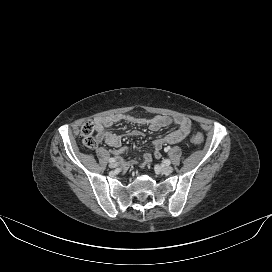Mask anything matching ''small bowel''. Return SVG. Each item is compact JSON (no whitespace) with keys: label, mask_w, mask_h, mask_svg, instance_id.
<instances>
[{"label":"small bowel","mask_w":272,"mask_h":272,"mask_svg":"<svg viewBox=\"0 0 272 272\" xmlns=\"http://www.w3.org/2000/svg\"><path fill=\"white\" fill-rule=\"evenodd\" d=\"M121 121H127L130 123L140 125H147L151 131L155 132L171 124H176L178 126L177 130L163 137H159L153 141L155 158H160L161 150L164 145L180 143L184 141L191 132V121L189 120V118L183 115H177L173 117L157 115L152 118H143L124 114H113L104 117H99L95 120L97 142L98 143L105 142L107 145L111 147L119 148L122 143L121 136L110 131H107L106 128ZM128 135L141 136L142 132H140L139 130H131L128 132ZM143 159H144L143 166H146L151 163L152 156L150 153H144Z\"/></svg>","instance_id":"c3829d8e"}]
</instances>
